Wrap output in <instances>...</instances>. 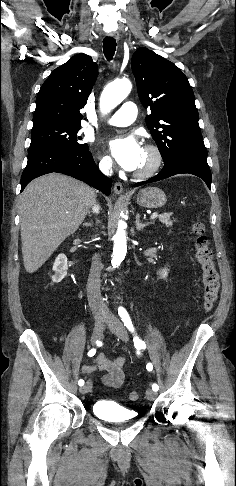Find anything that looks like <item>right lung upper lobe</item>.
<instances>
[{"mask_svg":"<svg viewBox=\"0 0 236 486\" xmlns=\"http://www.w3.org/2000/svg\"><path fill=\"white\" fill-rule=\"evenodd\" d=\"M98 74L97 64L86 54L70 58L43 83L36 98L33 126L55 123L80 125L82 109Z\"/></svg>","mask_w":236,"mask_h":486,"instance_id":"obj_1","label":"right lung upper lobe"}]
</instances>
